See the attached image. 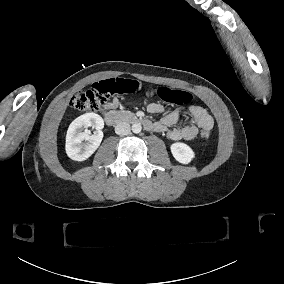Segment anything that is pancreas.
I'll use <instances>...</instances> for the list:
<instances>
[{"label":"pancreas","instance_id":"pancreas-1","mask_svg":"<svg viewBox=\"0 0 284 284\" xmlns=\"http://www.w3.org/2000/svg\"><path fill=\"white\" fill-rule=\"evenodd\" d=\"M117 114L122 117L123 119L134 117L135 114L131 111H119Z\"/></svg>","mask_w":284,"mask_h":284}]
</instances>
